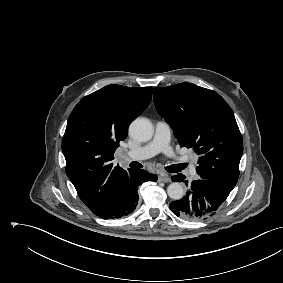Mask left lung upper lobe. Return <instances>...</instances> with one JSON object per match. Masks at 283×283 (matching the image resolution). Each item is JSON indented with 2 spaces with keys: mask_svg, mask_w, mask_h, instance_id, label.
Instances as JSON below:
<instances>
[{
  "mask_svg": "<svg viewBox=\"0 0 283 283\" xmlns=\"http://www.w3.org/2000/svg\"><path fill=\"white\" fill-rule=\"evenodd\" d=\"M154 103L181 147L199 156L200 179L232 191L239 177L242 136L233 111L215 91L190 83L154 88Z\"/></svg>",
  "mask_w": 283,
  "mask_h": 283,
  "instance_id": "1",
  "label": "left lung upper lobe"
}]
</instances>
